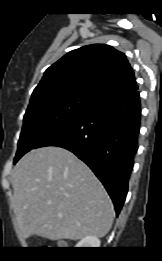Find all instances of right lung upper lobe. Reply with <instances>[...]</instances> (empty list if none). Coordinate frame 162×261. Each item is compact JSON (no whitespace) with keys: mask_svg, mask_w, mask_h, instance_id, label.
Masks as SVG:
<instances>
[{"mask_svg":"<svg viewBox=\"0 0 162 261\" xmlns=\"http://www.w3.org/2000/svg\"><path fill=\"white\" fill-rule=\"evenodd\" d=\"M137 89L125 54L109 45L92 44L69 52L51 65L31 100L75 92L102 103Z\"/></svg>","mask_w":162,"mask_h":261,"instance_id":"1","label":"right lung upper lobe"}]
</instances>
